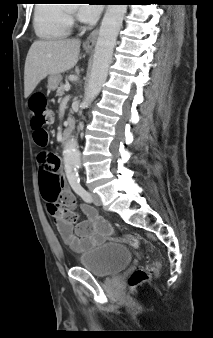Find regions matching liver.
Returning a JSON list of instances; mask_svg holds the SVG:
<instances>
[{
  "mask_svg": "<svg viewBox=\"0 0 213 338\" xmlns=\"http://www.w3.org/2000/svg\"><path fill=\"white\" fill-rule=\"evenodd\" d=\"M80 45L78 39L35 41L25 61L24 97H29L48 75L72 69L78 62Z\"/></svg>",
  "mask_w": 213,
  "mask_h": 338,
  "instance_id": "obj_1",
  "label": "liver"
}]
</instances>
